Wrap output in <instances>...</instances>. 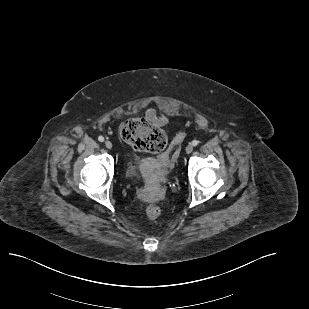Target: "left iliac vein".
I'll return each instance as SVG.
<instances>
[{
  "mask_svg": "<svg viewBox=\"0 0 309 309\" xmlns=\"http://www.w3.org/2000/svg\"><path fill=\"white\" fill-rule=\"evenodd\" d=\"M185 150H186L187 154H190L193 151V146L191 144H189V145H187Z\"/></svg>",
  "mask_w": 309,
  "mask_h": 309,
  "instance_id": "4c4485c4",
  "label": "left iliac vein"
}]
</instances>
